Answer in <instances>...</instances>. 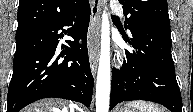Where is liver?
I'll list each match as a JSON object with an SVG mask.
<instances>
[{
    "mask_svg": "<svg viewBox=\"0 0 193 112\" xmlns=\"http://www.w3.org/2000/svg\"><path fill=\"white\" fill-rule=\"evenodd\" d=\"M70 112H74L73 107L69 106ZM22 112H68V106L56 99H44L26 107Z\"/></svg>",
    "mask_w": 193,
    "mask_h": 112,
    "instance_id": "obj_1",
    "label": "liver"
}]
</instances>
